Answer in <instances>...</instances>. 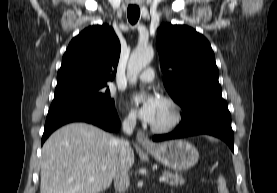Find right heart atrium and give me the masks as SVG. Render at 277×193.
Returning a JSON list of instances; mask_svg holds the SVG:
<instances>
[{
    "label": "right heart atrium",
    "instance_id": "1",
    "mask_svg": "<svg viewBox=\"0 0 277 193\" xmlns=\"http://www.w3.org/2000/svg\"><path fill=\"white\" fill-rule=\"evenodd\" d=\"M135 122V117L132 113H128L125 117H124V123L131 125Z\"/></svg>",
    "mask_w": 277,
    "mask_h": 193
}]
</instances>
